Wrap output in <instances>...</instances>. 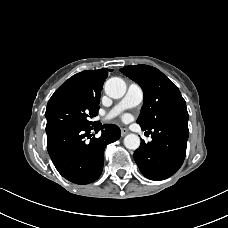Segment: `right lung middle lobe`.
<instances>
[{"label":"right lung middle lobe","mask_w":228,"mask_h":228,"mask_svg":"<svg viewBox=\"0 0 228 228\" xmlns=\"http://www.w3.org/2000/svg\"><path fill=\"white\" fill-rule=\"evenodd\" d=\"M99 100L83 95L72 85L64 83L48 101L46 133L67 126L93 125L91 119L98 115Z\"/></svg>","instance_id":"dd1d6c3e"}]
</instances>
